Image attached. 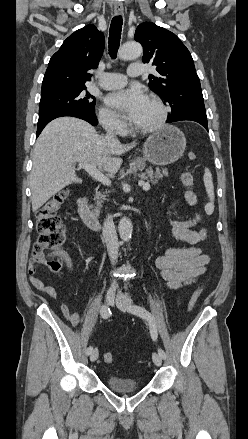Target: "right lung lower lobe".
<instances>
[{"label": "right lung lower lobe", "mask_w": 248, "mask_h": 439, "mask_svg": "<svg viewBox=\"0 0 248 439\" xmlns=\"http://www.w3.org/2000/svg\"><path fill=\"white\" fill-rule=\"evenodd\" d=\"M63 116L77 117V118H80V119H83V120L89 122L93 126L97 125V123H98L95 112H88L85 110H75V109L58 110V111L52 112L50 114H47L45 116L39 117L36 137L39 136V134L41 133L43 128L50 121H52L55 118L63 117Z\"/></svg>", "instance_id": "right-lung-lower-lobe-1"}]
</instances>
